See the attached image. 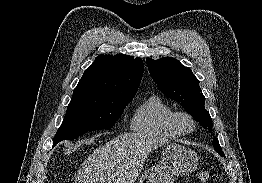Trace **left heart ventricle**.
<instances>
[{"label": "left heart ventricle", "mask_w": 262, "mask_h": 183, "mask_svg": "<svg viewBox=\"0 0 262 183\" xmlns=\"http://www.w3.org/2000/svg\"><path fill=\"white\" fill-rule=\"evenodd\" d=\"M185 127L186 128H190V123L189 122H185Z\"/></svg>", "instance_id": "left-heart-ventricle-1"}]
</instances>
